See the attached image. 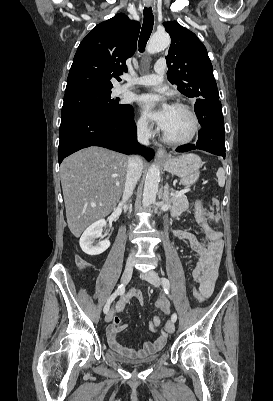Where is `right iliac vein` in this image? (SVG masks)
<instances>
[{
  "mask_svg": "<svg viewBox=\"0 0 273 401\" xmlns=\"http://www.w3.org/2000/svg\"><path fill=\"white\" fill-rule=\"evenodd\" d=\"M132 274H133V266L128 265L125 268L124 273L122 275L121 283L123 285L127 284L131 280ZM113 315H114V310L111 309L110 311L107 312V314L105 316V322H110L113 318Z\"/></svg>",
  "mask_w": 273,
  "mask_h": 401,
  "instance_id": "obj_1",
  "label": "right iliac vein"
}]
</instances>
